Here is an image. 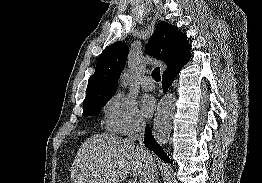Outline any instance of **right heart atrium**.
<instances>
[{
    "instance_id": "obj_1",
    "label": "right heart atrium",
    "mask_w": 262,
    "mask_h": 183,
    "mask_svg": "<svg viewBox=\"0 0 262 183\" xmlns=\"http://www.w3.org/2000/svg\"><path fill=\"white\" fill-rule=\"evenodd\" d=\"M105 128L117 135H131L144 129L145 121L136 102L121 92L113 94L104 105Z\"/></svg>"
}]
</instances>
